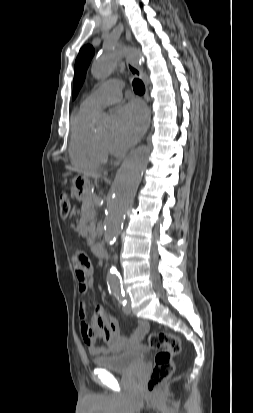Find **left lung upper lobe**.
<instances>
[{
  "instance_id": "5c2ea615",
  "label": "left lung upper lobe",
  "mask_w": 253,
  "mask_h": 413,
  "mask_svg": "<svg viewBox=\"0 0 253 413\" xmlns=\"http://www.w3.org/2000/svg\"><path fill=\"white\" fill-rule=\"evenodd\" d=\"M94 56V49L91 45L83 46L75 61V74L73 80V95L75 99L85 79L87 68Z\"/></svg>"
}]
</instances>
